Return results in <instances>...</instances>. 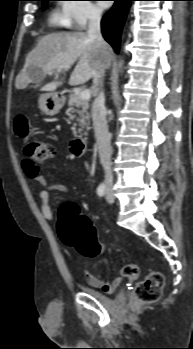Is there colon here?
<instances>
[{"mask_svg":"<svg viewBox=\"0 0 193 349\" xmlns=\"http://www.w3.org/2000/svg\"><path fill=\"white\" fill-rule=\"evenodd\" d=\"M15 130L22 138L23 151L27 156L26 162L39 167L53 156V146L32 136L33 128L25 116L16 119ZM59 236L66 245L76 248L85 256H96L104 249L90 220L79 215L72 204H65L60 210ZM163 285L164 276L160 272L151 271L136 287L137 301L140 304L157 301L161 296Z\"/></svg>","mask_w":193,"mask_h":349,"instance_id":"5ec220e1","label":"colon"}]
</instances>
